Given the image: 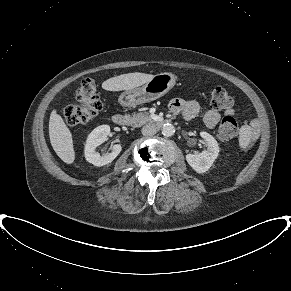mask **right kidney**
Masks as SVG:
<instances>
[{"mask_svg": "<svg viewBox=\"0 0 291 291\" xmlns=\"http://www.w3.org/2000/svg\"><path fill=\"white\" fill-rule=\"evenodd\" d=\"M110 133L109 125H101L95 128L88 136L85 144V158L94 166H104L111 163L121 152L122 147L120 144L113 145L111 152L105 155H100L96 152V148L107 140Z\"/></svg>", "mask_w": 291, "mask_h": 291, "instance_id": "right-kidney-1", "label": "right kidney"}]
</instances>
